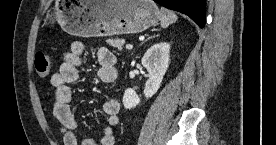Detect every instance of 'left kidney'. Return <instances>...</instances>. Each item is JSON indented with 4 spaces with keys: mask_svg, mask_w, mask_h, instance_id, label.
<instances>
[{
    "mask_svg": "<svg viewBox=\"0 0 276 145\" xmlns=\"http://www.w3.org/2000/svg\"><path fill=\"white\" fill-rule=\"evenodd\" d=\"M169 52L170 44L160 42L151 46L142 58V65L149 73L144 88V95L146 98H151L160 88L163 77L169 66ZM140 103V97L136 94L134 89H126L123 96V105L126 109L136 107Z\"/></svg>",
    "mask_w": 276,
    "mask_h": 145,
    "instance_id": "5707ae66",
    "label": "left kidney"
}]
</instances>
